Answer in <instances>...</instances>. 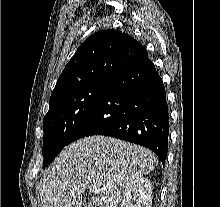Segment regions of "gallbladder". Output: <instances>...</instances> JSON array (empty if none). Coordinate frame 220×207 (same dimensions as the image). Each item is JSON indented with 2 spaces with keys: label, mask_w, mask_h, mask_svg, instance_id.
Returning a JSON list of instances; mask_svg holds the SVG:
<instances>
[{
  "label": "gallbladder",
  "mask_w": 220,
  "mask_h": 207,
  "mask_svg": "<svg viewBox=\"0 0 220 207\" xmlns=\"http://www.w3.org/2000/svg\"><path fill=\"white\" fill-rule=\"evenodd\" d=\"M84 207H91L90 202H85Z\"/></svg>",
  "instance_id": "bac80fb5"
}]
</instances>
